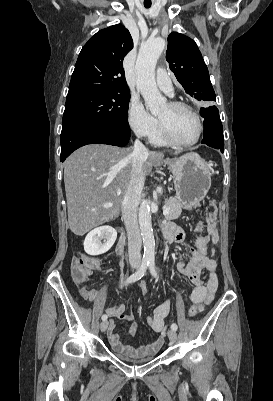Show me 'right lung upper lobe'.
Segmentation results:
<instances>
[{"mask_svg":"<svg viewBox=\"0 0 273 401\" xmlns=\"http://www.w3.org/2000/svg\"><path fill=\"white\" fill-rule=\"evenodd\" d=\"M132 48V37L121 24L97 32L78 56L67 96L83 92L129 94L123 59Z\"/></svg>","mask_w":273,"mask_h":401,"instance_id":"obj_1","label":"right lung upper lobe"}]
</instances>
